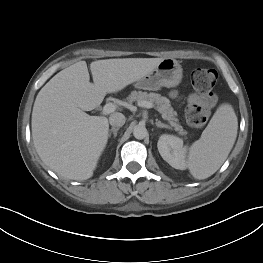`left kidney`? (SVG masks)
<instances>
[{
  "label": "left kidney",
  "instance_id": "1",
  "mask_svg": "<svg viewBox=\"0 0 263 263\" xmlns=\"http://www.w3.org/2000/svg\"><path fill=\"white\" fill-rule=\"evenodd\" d=\"M161 157L173 168L183 170L186 168V147L183 140L174 135L163 134L157 143Z\"/></svg>",
  "mask_w": 263,
  "mask_h": 263
}]
</instances>
